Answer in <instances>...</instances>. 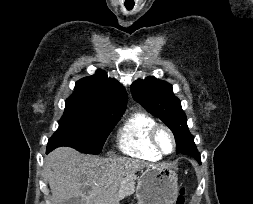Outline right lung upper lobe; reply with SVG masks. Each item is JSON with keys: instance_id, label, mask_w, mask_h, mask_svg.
Instances as JSON below:
<instances>
[{"instance_id": "1", "label": "right lung upper lobe", "mask_w": 253, "mask_h": 204, "mask_svg": "<svg viewBox=\"0 0 253 204\" xmlns=\"http://www.w3.org/2000/svg\"><path fill=\"white\" fill-rule=\"evenodd\" d=\"M70 98L103 108L114 115H122L127 103L124 87L100 70L77 81Z\"/></svg>"}]
</instances>
